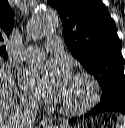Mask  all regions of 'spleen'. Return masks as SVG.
<instances>
[{
    "instance_id": "3e777b00",
    "label": "spleen",
    "mask_w": 125,
    "mask_h": 128,
    "mask_svg": "<svg viewBox=\"0 0 125 128\" xmlns=\"http://www.w3.org/2000/svg\"><path fill=\"white\" fill-rule=\"evenodd\" d=\"M116 128H125V116L119 115L117 117Z\"/></svg>"
}]
</instances>
